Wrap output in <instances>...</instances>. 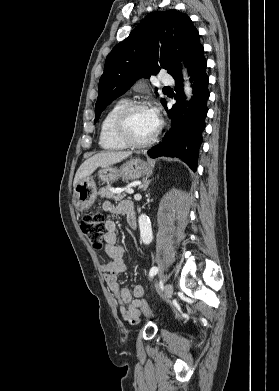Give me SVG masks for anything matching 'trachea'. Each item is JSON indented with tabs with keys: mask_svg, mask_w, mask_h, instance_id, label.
<instances>
[{
	"mask_svg": "<svg viewBox=\"0 0 279 391\" xmlns=\"http://www.w3.org/2000/svg\"><path fill=\"white\" fill-rule=\"evenodd\" d=\"M164 89H170V87H164Z\"/></svg>",
	"mask_w": 279,
	"mask_h": 391,
	"instance_id": "trachea-1",
	"label": "trachea"
}]
</instances>
